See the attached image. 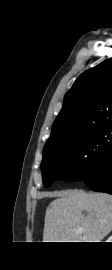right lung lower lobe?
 Returning a JSON list of instances; mask_svg holds the SVG:
<instances>
[{"instance_id": "1", "label": "right lung lower lobe", "mask_w": 112, "mask_h": 270, "mask_svg": "<svg viewBox=\"0 0 112 270\" xmlns=\"http://www.w3.org/2000/svg\"><path fill=\"white\" fill-rule=\"evenodd\" d=\"M82 180L94 191L112 194V146L103 154L97 168Z\"/></svg>"}]
</instances>
